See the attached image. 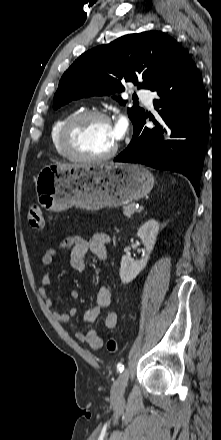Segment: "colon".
I'll list each match as a JSON object with an SVG mask.
<instances>
[{"label": "colon", "instance_id": "colon-1", "mask_svg": "<svg viewBox=\"0 0 221 440\" xmlns=\"http://www.w3.org/2000/svg\"><path fill=\"white\" fill-rule=\"evenodd\" d=\"M28 221L32 228L42 229L44 227V218L41 208L37 205L30 207L28 211ZM106 348L109 352L116 353L119 350V343L114 338H109L106 341Z\"/></svg>", "mask_w": 221, "mask_h": 440}]
</instances>
